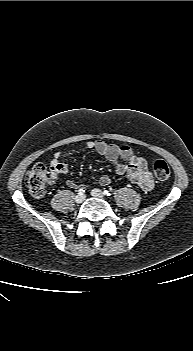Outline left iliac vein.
Instances as JSON below:
<instances>
[{"label": "left iliac vein", "mask_w": 193, "mask_h": 351, "mask_svg": "<svg viewBox=\"0 0 193 351\" xmlns=\"http://www.w3.org/2000/svg\"><path fill=\"white\" fill-rule=\"evenodd\" d=\"M91 195L97 198H104L105 195L100 189H93L91 190Z\"/></svg>", "instance_id": "obj_1"}]
</instances>
